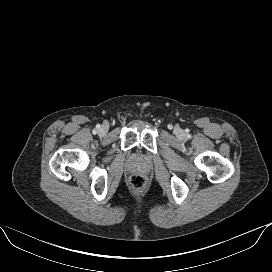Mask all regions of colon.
Returning <instances> with one entry per match:
<instances>
[{
  "instance_id": "colon-1",
  "label": "colon",
  "mask_w": 272,
  "mask_h": 272,
  "mask_svg": "<svg viewBox=\"0 0 272 272\" xmlns=\"http://www.w3.org/2000/svg\"><path fill=\"white\" fill-rule=\"evenodd\" d=\"M129 184L135 190H141L146 185V179L139 174H134L129 178Z\"/></svg>"
}]
</instances>
